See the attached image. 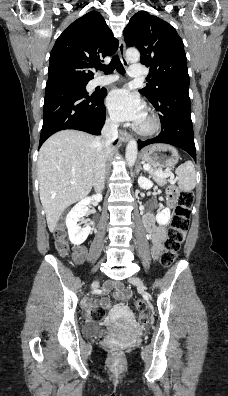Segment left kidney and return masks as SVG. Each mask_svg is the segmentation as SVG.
I'll return each instance as SVG.
<instances>
[{"mask_svg":"<svg viewBox=\"0 0 228 396\" xmlns=\"http://www.w3.org/2000/svg\"><path fill=\"white\" fill-rule=\"evenodd\" d=\"M138 184L142 189H150L153 186V183L150 179L139 176ZM170 209L164 208L161 212H158L156 215V221L160 225H166L170 220Z\"/></svg>","mask_w":228,"mask_h":396,"instance_id":"5707ae66","label":"left kidney"}]
</instances>
